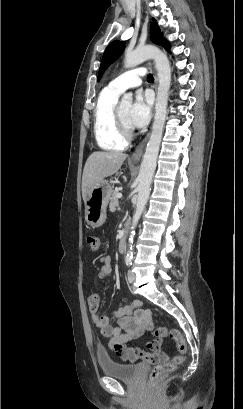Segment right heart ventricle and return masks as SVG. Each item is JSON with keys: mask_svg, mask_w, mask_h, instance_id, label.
I'll return each instance as SVG.
<instances>
[{"mask_svg": "<svg viewBox=\"0 0 243 409\" xmlns=\"http://www.w3.org/2000/svg\"><path fill=\"white\" fill-rule=\"evenodd\" d=\"M120 93L105 87L97 100L94 114V134L97 144L104 150H123L127 141L119 134L114 110Z\"/></svg>", "mask_w": 243, "mask_h": 409, "instance_id": "obj_1", "label": "right heart ventricle"}]
</instances>
